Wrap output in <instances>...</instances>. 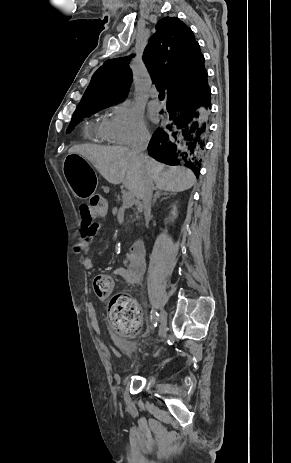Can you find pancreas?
I'll list each match as a JSON object with an SVG mask.
<instances>
[{
  "instance_id": "cf45deb5",
  "label": "pancreas",
  "mask_w": 291,
  "mask_h": 463,
  "mask_svg": "<svg viewBox=\"0 0 291 463\" xmlns=\"http://www.w3.org/2000/svg\"><path fill=\"white\" fill-rule=\"evenodd\" d=\"M117 199H118V201H120V200H121V197H120V195H117Z\"/></svg>"
}]
</instances>
